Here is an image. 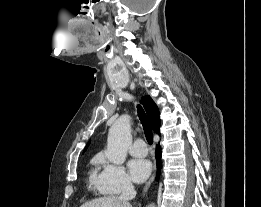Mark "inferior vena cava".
<instances>
[{"instance_id":"obj_1","label":"inferior vena cava","mask_w":261,"mask_h":207,"mask_svg":"<svg viewBox=\"0 0 261 207\" xmlns=\"http://www.w3.org/2000/svg\"><path fill=\"white\" fill-rule=\"evenodd\" d=\"M136 196V191L133 184L130 181H125L123 184L122 192L120 198L124 201H129L134 199Z\"/></svg>"}]
</instances>
